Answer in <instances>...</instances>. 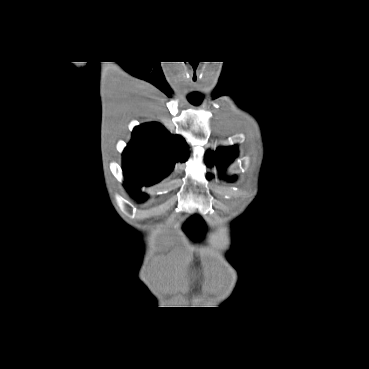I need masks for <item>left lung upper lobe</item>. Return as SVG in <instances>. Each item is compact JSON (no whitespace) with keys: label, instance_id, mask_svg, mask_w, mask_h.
Here are the masks:
<instances>
[{"label":"left lung upper lobe","instance_id":"obj_1","mask_svg":"<svg viewBox=\"0 0 369 369\" xmlns=\"http://www.w3.org/2000/svg\"><path fill=\"white\" fill-rule=\"evenodd\" d=\"M238 151L235 146L219 147L215 152L208 151L205 155V163L207 166L216 164L219 169L220 175L223 174L224 168L233 161L237 156ZM211 175L207 174V178ZM235 180V177L229 178V181Z\"/></svg>","mask_w":369,"mask_h":369}]
</instances>
